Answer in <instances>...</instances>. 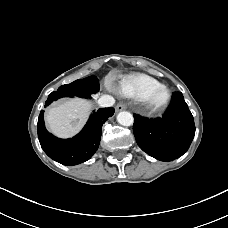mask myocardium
Segmentation results:
<instances>
[{
  "label": "myocardium",
  "instance_id": "f54148a6",
  "mask_svg": "<svg viewBox=\"0 0 228 228\" xmlns=\"http://www.w3.org/2000/svg\"><path fill=\"white\" fill-rule=\"evenodd\" d=\"M159 91H162L164 93V98L160 103L155 104L153 102V98ZM142 101L147 111L150 113H160L168 107L171 101V91L165 85L153 87L145 94Z\"/></svg>",
  "mask_w": 228,
  "mask_h": 228
}]
</instances>
